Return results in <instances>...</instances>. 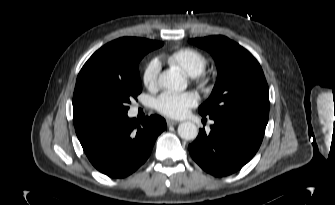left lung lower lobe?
Returning a JSON list of instances; mask_svg holds the SVG:
<instances>
[{
    "label": "left lung lower lobe",
    "mask_w": 335,
    "mask_h": 205,
    "mask_svg": "<svg viewBox=\"0 0 335 205\" xmlns=\"http://www.w3.org/2000/svg\"><path fill=\"white\" fill-rule=\"evenodd\" d=\"M210 118L214 120L210 133L200 129L188 146L190 154L203 170L216 177L235 173L258 151L266 125L234 115Z\"/></svg>",
    "instance_id": "0a47b994"
}]
</instances>
